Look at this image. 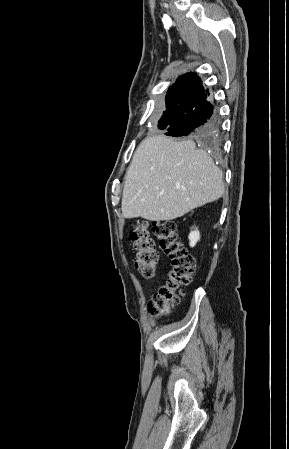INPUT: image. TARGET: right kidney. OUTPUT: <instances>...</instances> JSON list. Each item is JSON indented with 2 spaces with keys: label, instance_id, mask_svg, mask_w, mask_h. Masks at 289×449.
I'll return each mask as SVG.
<instances>
[{
  "label": "right kidney",
  "instance_id": "obj_1",
  "mask_svg": "<svg viewBox=\"0 0 289 449\" xmlns=\"http://www.w3.org/2000/svg\"><path fill=\"white\" fill-rule=\"evenodd\" d=\"M199 239H200V232L198 231L197 228H195V230L191 231L189 234L190 246L194 247Z\"/></svg>",
  "mask_w": 289,
  "mask_h": 449
}]
</instances>
